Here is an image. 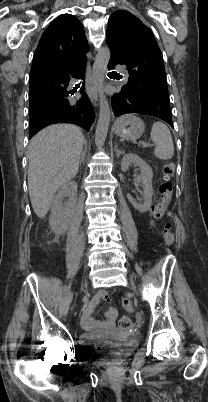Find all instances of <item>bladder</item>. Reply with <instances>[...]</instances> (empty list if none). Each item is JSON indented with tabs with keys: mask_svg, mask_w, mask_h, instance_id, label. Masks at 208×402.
<instances>
[{
	"mask_svg": "<svg viewBox=\"0 0 208 402\" xmlns=\"http://www.w3.org/2000/svg\"><path fill=\"white\" fill-rule=\"evenodd\" d=\"M139 341V337L127 336L117 337L113 334L99 336L97 334H84L82 336V347L90 352H104L112 347H121L122 349L134 348Z\"/></svg>",
	"mask_w": 208,
	"mask_h": 402,
	"instance_id": "obj_1",
	"label": "bladder"
}]
</instances>
